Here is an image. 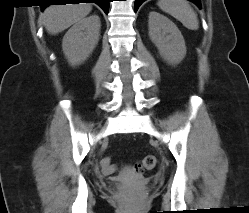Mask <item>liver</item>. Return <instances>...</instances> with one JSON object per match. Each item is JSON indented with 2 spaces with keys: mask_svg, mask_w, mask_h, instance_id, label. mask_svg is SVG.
I'll return each instance as SVG.
<instances>
[{
  "mask_svg": "<svg viewBox=\"0 0 249 213\" xmlns=\"http://www.w3.org/2000/svg\"><path fill=\"white\" fill-rule=\"evenodd\" d=\"M91 10L90 3L51 5L40 18L48 33L55 35L84 19Z\"/></svg>",
  "mask_w": 249,
  "mask_h": 213,
  "instance_id": "obj_1",
  "label": "liver"
}]
</instances>
